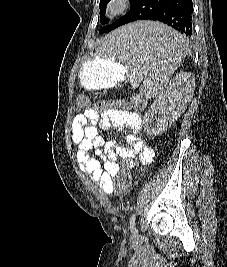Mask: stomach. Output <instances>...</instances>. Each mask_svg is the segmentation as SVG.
Returning <instances> with one entry per match:
<instances>
[{
    "label": "stomach",
    "mask_w": 227,
    "mask_h": 267,
    "mask_svg": "<svg viewBox=\"0 0 227 267\" xmlns=\"http://www.w3.org/2000/svg\"><path fill=\"white\" fill-rule=\"evenodd\" d=\"M133 65L131 60L120 59L119 55L98 56L82 65L79 72L80 83L87 89L113 87L124 76H132Z\"/></svg>",
    "instance_id": "1"
}]
</instances>
